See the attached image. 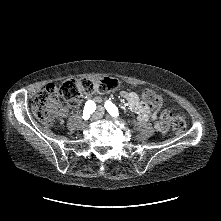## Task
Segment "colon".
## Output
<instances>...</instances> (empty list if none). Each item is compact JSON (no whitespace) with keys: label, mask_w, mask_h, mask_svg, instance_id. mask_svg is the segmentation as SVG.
<instances>
[{"label":"colon","mask_w":221,"mask_h":221,"mask_svg":"<svg viewBox=\"0 0 221 221\" xmlns=\"http://www.w3.org/2000/svg\"><path fill=\"white\" fill-rule=\"evenodd\" d=\"M117 86L118 81L110 77L99 80L70 79L60 86L50 84L38 93L33 101L32 111L42 124L51 126L62 112V103L74 107L86 95L105 94ZM142 97L152 108L158 110L162 107V98L153 90H143ZM168 117L169 112L165 111L161 116L162 122H166ZM172 126L176 134L182 135L186 131L184 117L179 114L173 116Z\"/></svg>","instance_id":"colon-1"}]
</instances>
